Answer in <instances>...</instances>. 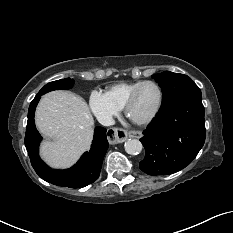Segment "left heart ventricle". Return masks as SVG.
Wrapping results in <instances>:
<instances>
[{
    "label": "left heart ventricle",
    "instance_id": "obj_1",
    "mask_svg": "<svg viewBox=\"0 0 233 233\" xmlns=\"http://www.w3.org/2000/svg\"><path fill=\"white\" fill-rule=\"evenodd\" d=\"M158 101V90L154 85L144 86L132 108L131 114L136 118L147 116L156 106Z\"/></svg>",
    "mask_w": 233,
    "mask_h": 233
}]
</instances>
